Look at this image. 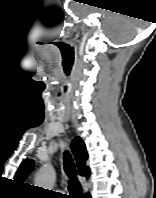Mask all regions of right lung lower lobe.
Instances as JSON below:
<instances>
[{
	"mask_svg": "<svg viewBox=\"0 0 156 198\" xmlns=\"http://www.w3.org/2000/svg\"><path fill=\"white\" fill-rule=\"evenodd\" d=\"M84 198H91V197H90V196H88V195H85V196H84Z\"/></svg>",
	"mask_w": 156,
	"mask_h": 198,
	"instance_id": "1",
	"label": "right lung lower lobe"
}]
</instances>
